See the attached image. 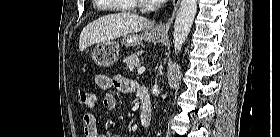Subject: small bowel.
I'll use <instances>...</instances> for the list:
<instances>
[{
	"mask_svg": "<svg viewBox=\"0 0 280 137\" xmlns=\"http://www.w3.org/2000/svg\"><path fill=\"white\" fill-rule=\"evenodd\" d=\"M96 83L104 90L115 88L118 91L128 93L135 89L129 80L123 78L120 75L111 77L101 73L96 76ZM103 105L107 111H113L117 106V100L115 96L113 94L107 93L104 97ZM82 125L86 137H104L98 131L97 120L94 114L84 113L82 115Z\"/></svg>",
	"mask_w": 280,
	"mask_h": 137,
	"instance_id": "small-bowel-1",
	"label": "small bowel"
}]
</instances>
